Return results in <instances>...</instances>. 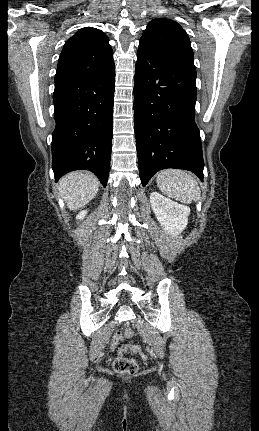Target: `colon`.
<instances>
[{
  "instance_id": "obj_1",
  "label": "colon",
  "mask_w": 259,
  "mask_h": 431,
  "mask_svg": "<svg viewBox=\"0 0 259 431\" xmlns=\"http://www.w3.org/2000/svg\"><path fill=\"white\" fill-rule=\"evenodd\" d=\"M133 335L134 332L130 327H123L115 333L112 343L114 346H116L119 342L132 338ZM128 351L134 352L141 358L146 357L145 353L140 347H121L119 350V356L114 360L113 367L116 372L123 375H133L139 369L138 362L135 359L124 356Z\"/></svg>"
}]
</instances>
